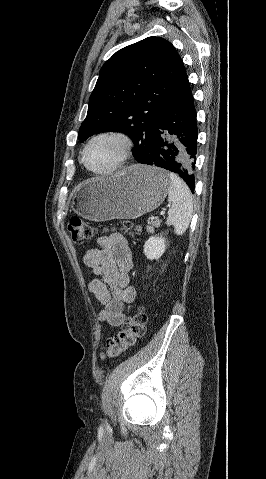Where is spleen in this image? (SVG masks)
I'll return each mask as SVG.
<instances>
[{
  "instance_id": "3e777b00",
  "label": "spleen",
  "mask_w": 266,
  "mask_h": 479,
  "mask_svg": "<svg viewBox=\"0 0 266 479\" xmlns=\"http://www.w3.org/2000/svg\"><path fill=\"white\" fill-rule=\"evenodd\" d=\"M170 187L168 189L167 226L174 227V233L181 236L187 230L193 216V200L186 183L173 173L168 174Z\"/></svg>"
}]
</instances>
